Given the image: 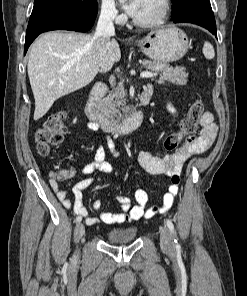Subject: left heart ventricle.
<instances>
[{"label": "left heart ventricle", "instance_id": "1", "mask_svg": "<svg viewBox=\"0 0 247 296\" xmlns=\"http://www.w3.org/2000/svg\"><path fill=\"white\" fill-rule=\"evenodd\" d=\"M160 0H143L138 14L134 17L139 21H150L160 12Z\"/></svg>", "mask_w": 247, "mask_h": 296}]
</instances>
